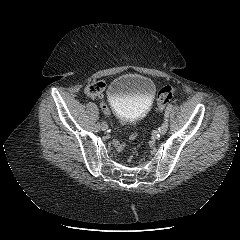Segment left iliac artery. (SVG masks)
<instances>
[{"label":"left iliac artery","instance_id":"obj_1","mask_svg":"<svg viewBox=\"0 0 240 240\" xmlns=\"http://www.w3.org/2000/svg\"><path fill=\"white\" fill-rule=\"evenodd\" d=\"M172 107L173 105L172 104H169L166 108V111H165V120L168 121V117H169V114H170V111L172 110Z\"/></svg>","mask_w":240,"mask_h":240}]
</instances>
